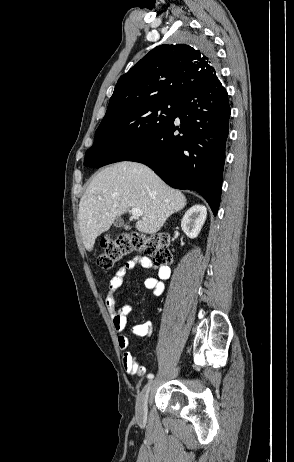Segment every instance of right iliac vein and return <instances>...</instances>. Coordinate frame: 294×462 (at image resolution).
I'll use <instances>...</instances> for the list:
<instances>
[{
    "instance_id": "63e3f726",
    "label": "right iliac vein",
    "mask_w": 294,
    "mask_h": 462,
    "mask_svg": "<svg viewBox=\"0 0 294 462\" xmlns=\"http://www.w3.org/2000/svg\"><path fill=\"white\" fill-rule=\"evenodd\" d=\"M153 383L149 381L142 389L136 400V418L143 421L147 417V401Z\"/></svg>"
}]
</instances>
